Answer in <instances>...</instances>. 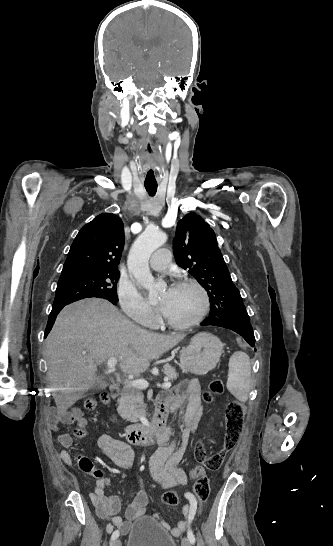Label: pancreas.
I'll use <instances>...</instances> for the list:
<instances>
[{
	"label": "pancreas",
	"mask_w": 333,
	"mask_h": 546,
	"mask_svg": "<svg viewBox=\"0 0 333 546\" xmlns=\"http://www.w3.org/2000/svg\"><path fill=\"white\" fill-rule=\"evenodd\" d=\"M164 374L170 380H176L178 374L174 367L169 364H165L163 367ZM144 395L142 389L134 387L132 385H125L120 399L118 400L119 408L118 413L120 416L130 422H137L141 414L144 412Z\"/></svg>",
	"instance_id": "pancreas-1"
}]
</instances>
